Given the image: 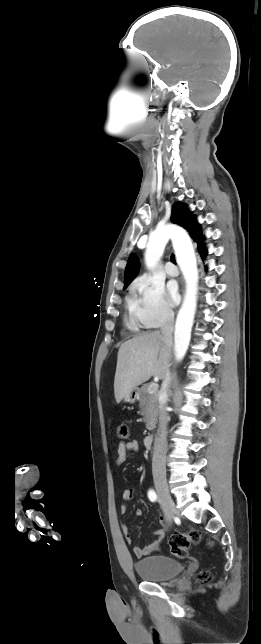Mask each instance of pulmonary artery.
<instances>
[{"label":"pulmonary artery","mask_w":261,"mask_h":644,"mask_svg":"<svg viewBox=\"0 0 261 644\" xmlns=\"http://www.w3.org/2000/svg\"><path fill=\"white\" fill-rule=\"evenodd\" d=\"M165 271L169 276H172V277H175L178 275L177 267L170 262L166 264Z\"/></svg>","instance_id":"pulmonary-artery-1"}]
</instances>
